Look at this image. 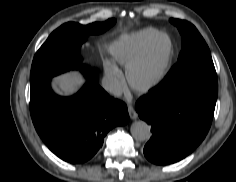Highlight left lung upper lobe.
I'll return each mask as SVG.
<instances>
[{
    "instance_id": "left-lung-upper-lobe-1",
    "label": "left lung upper lobe",
    "mask_w": 236,
    "mask_h": 182,
    "mask_svg": "<svg viewBox=\"0 0 236 182\" xmlns=\"http://www.w3.org/2000/svg\"><path fill=\"white\" fill-rule=\"evenodd\" d=\"M182 35V50L176 65L156 88L164 94L197 92L217 97L218 81L210 50L194 25L170 19Z\"/></svg>"
}]
</instances>
